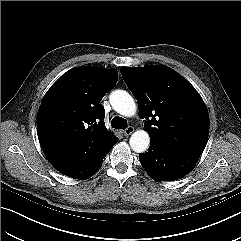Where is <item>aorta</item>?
<instances>
[{
  "mask_svg": "<svg viewBox=\"0 0 241 241\" xmlns=\"http://www.w3.org/2000/svg\"><path fill=\"white\" fill-rule=\"evenodd\" d=\"M112 108L119 114L131 117L136 113V104L132 96L124 90H115L109 97ZM131 149L136 153L145 152L150 145L149 134L145 130L134 132L129 140Z\"/></svg>",
  "mask_w": 241,
  "mask_h": 241,
  "instance_id": "obj_1",
  "label": "aorta"
}]
</instances>
